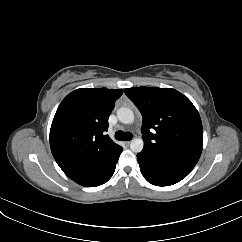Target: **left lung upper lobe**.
Here are the masks:
<instances>
[{"label": "left lung upper lobe", "mask_w": 242, "mask_h": 242, "mask_svg": "<svg viewBox=\"0 0 242 242\" xmlns=\"http://www.w3.org/2000/svg\"><path fill=\"white\" fill-rule=\"evenodd\" d=\"M124 92L143 116V149L195 166L202 152L203 129L191 101L172 88L133 87ZM153 129L155 133L150 132Z\"/></svg>", "instance_id": "1"}]
</instances>
